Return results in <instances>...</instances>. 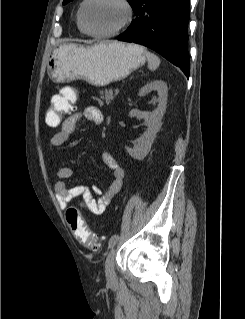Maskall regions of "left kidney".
Returning a JSON list of instances; mask_svg holds the SVG:
<instances>
[{
  "instance_id": "obj_1",
  "label": "left kidney",
  "mask_w": 245,
  "mask_h": 319,
  "mask_svg": "<svg viewBox=\"0 0 245 319\" xmlns=\"http://www.w3.org/2000/svg\"><path fill=\"white\" fill-rule=\"evenodd\" d=\"M157 91L158 107L153 112L139 111L138 109H132L129 112V117H137L144 119L147 130L143 135L137 139L133 149L126 148L131 157L137 160H142L150 151L153 140L161 127V119L166 110L167 104V85L162 80H155L147 83L139 90V96H143L148 92Z\"/></svg>"
}]
</instances>
